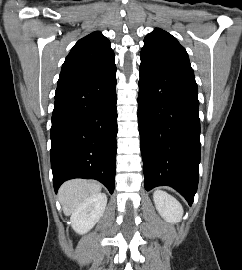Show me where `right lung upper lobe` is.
I'll return each mask as SVG.
<instances>
[{"label":"right lung upper lobe","instance_id":"1","mask_svg":"<svg viewBox=\"0 0 242 270\" xmlns=\"http://www.w3.org/2000/svg\"><path fill=\"white\" fill-rule=\"evenodd\" d=\"M110 41L95 31L80 39L65 59L57 90L80 82L114 62Z\"/></svg>","mask_w":242,"mask_h":270}]
</instances>
